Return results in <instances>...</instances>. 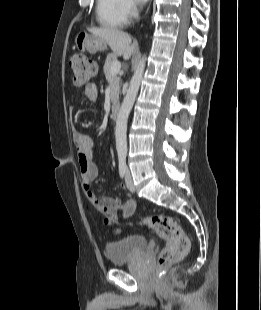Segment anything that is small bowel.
Segmentation results:
<instances>
[{
    "mask_svg": "<svg viewBox=\"0 0 261 310\" xmlns=\"http://www.w3.org/2000/svg\"><path fill=\"white\" fill-rule=\"evenodd\" d=\"M83 94L91 101L97 99V88L94 84H88ZM73 140L77 146V157L79 173L81 177V186L85 198L92 211L106 215L115 216L121 220L130 217L136 210V203L130 199L125 203H121L118 199L108 196H96L91 191V182L97 177L98 170L93 163L95 141L80 132L76 127H72Z\"/></svg>",
    "mask_w": 261,
    "mask_h": 310,
    "instance_id": "obj_1",
    "label": "small bowel"
}]
</instances>
